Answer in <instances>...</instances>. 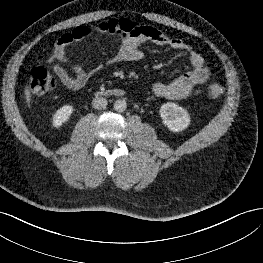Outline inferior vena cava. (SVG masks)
<instances>
[{"label": "inferior vena cava", "mask_w": 263, "mask_h": 263, "mask_svg": "<svg viewBox=\"0 0 263 263\" xmlns=\"http://www.w3.org/2000/svg\"><path fill=\"white\" fill-rule=\"evenodd\" d=\"M92 105L95 109H105L107 106V100L104 97H95L92 100Z\"/></svg>", "instance_id": "inferior-vena-cava-1"}]
</instances>
